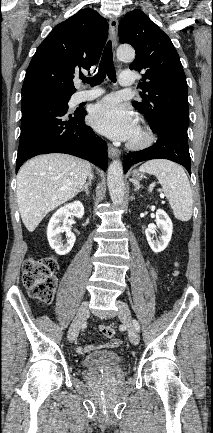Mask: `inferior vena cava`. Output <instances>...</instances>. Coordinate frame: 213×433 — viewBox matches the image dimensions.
I'll return each mask as SVG.
<instances>
[{
    "instance_id": "obj_1",
    "label": "inferior vena cava",
    "mask_w": 213,
    "mask_h": 433,
    "mask_svg": "<svg viewBox=\"0 0 213 433\" xmlns=\"http://www.w3.org/2000/svg\"><path fill=\"white\" fill-rule=\"evenodd\" d=\"M92 177H93V176L90 174V178H91V179H92Z\"/></svg>"
}]
</instances>
